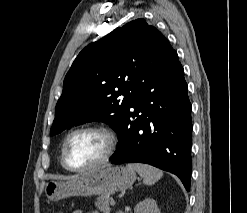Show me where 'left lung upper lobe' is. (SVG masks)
<instances>
[{
    "label": "left lung upper lobe",
    "instance_id": "obj_1",
    "mask_svg": "<svg viewBox=\"0 0 247 213\" xmlns=\"http://www.w3.org/2000/svg\"><path fill=\"white\" fill-rule=\"evenodd\" d=\"M173 51L166 37L144 19L86 46L64 79L50 135L90 121L107 123L119 134L145 77Z\"/></svg>",
    "mask_w": 247,
    "mask_h": 213
}]
</instances>
